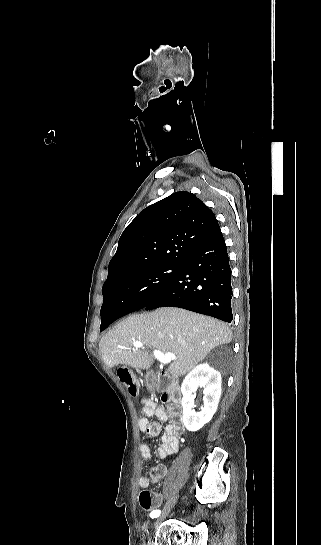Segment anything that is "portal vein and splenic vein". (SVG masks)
I'll return each instance as SVG.
<instances>
[{
  "mask_svg": "<svg viewBox=\"0 0 321 545\" xmlns=\"http://www.w3.org/2000/svg\"><path fill=\"white\" fill-rule=\"evenodd\" d=\"M144 347L143 343L141 341H134L133 343V349H142ZM154 357L160 361V363H164V365H167V363H171V361H176L175 355L173 353H161V351H153Z\"/></svg>",
  "mask_w": 321,
  "mask_h": 545,
  "instance_id": "18ae733b",
  "label": "portal vein and splenic vein"
}]
</instances>
